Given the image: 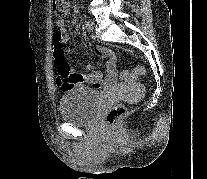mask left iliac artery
Listing matches in <instances>:
<instances>
[{
	"label": "left iliac artery",
	"instance_id": "left-iliac-artery-1",
	"mask_svg": "<svg viewBox=\"0 0 207 179\" xmlns=\"http://www.w3.org/2000/svg\"><path fill=\"white\" fill-rule=\"evenodd\" d=\"M87 26H89V22H87V24H86Z\"/></svg>",
	"mask_w": 207,
	"mask_h": 179
}]
</instances>
